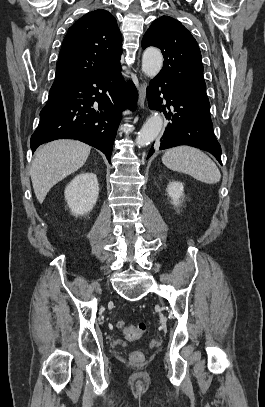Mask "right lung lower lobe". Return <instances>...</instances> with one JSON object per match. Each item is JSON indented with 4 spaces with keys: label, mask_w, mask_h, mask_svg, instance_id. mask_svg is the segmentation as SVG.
Instances as JSON below:
<instances>
[{
    "label": "right lung lower lobe",
    "mask_w": 265,
    "mask_h": 407,
    "mask_svg": "<svg viewBox=\"0 0 265 407\" xmlns=\"http://www.w3.org/2000/svg\"><path fill=\"white\" fill-rule=\"evenodd\" d=\"M136 101L137 90L131 81L124 85L120 65L49 95L31 137L32 151L43 143L69 138L101 150L110 162L122 110L136 109Z\"/></svg>",
    "instance_id": "98d812e1"
}]
</instances>
